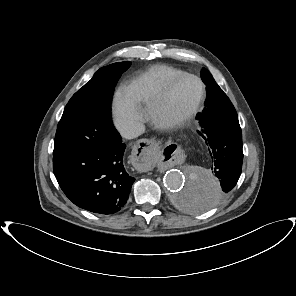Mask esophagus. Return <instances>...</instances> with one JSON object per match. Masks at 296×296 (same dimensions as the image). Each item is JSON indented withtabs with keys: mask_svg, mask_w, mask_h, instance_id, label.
<instances>
[{
	"mask_svg": "<svg viewBox=\"0 0 296 296\" xmlns=\"http://www.w3.org/2000/svg\"><path fill=\"white\" fill-rule=\"evenodd\" d=\"M158 143L154 140L142 139L132 150V167L135 171L143 173L148 171L157 159L156 148Z\"/></svg>",
	"mask_w": 296,
	"mask_h": 296,
	"instance_id": "34e87169",
	"label": "esophagus"
}]
</instances>
